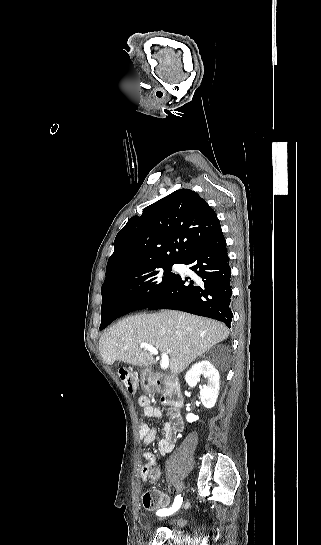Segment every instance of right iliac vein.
Listing matches in <instances>:
<instances>
[{
	"label": "right iliac vein",
	"instance_id": "63e3f726",
	"mask_svg": "<svg viewBox=\"0 0 321 545\" xmlns=\"http://www.w3.org/2000/svg\"><path fill=\"white\" fill-rule=\"evenodd\" d=\"M175 488H176V494H181L183 489H184V484L182 481H177L176 484H175Z\"/></svg>",
	"mask_w": 321,
	"mask_h": 545
}]
</instances>
